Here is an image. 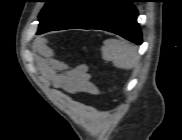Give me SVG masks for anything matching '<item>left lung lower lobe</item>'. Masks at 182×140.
<instances>
[{
    "mask_svg": "<svg viewBox=\"0 0 182 140\" xmlns=\"http://www.w3.org/2000/svg\"><path fill=\"white\" fill-rule=\"evenodd\" d=\"M132 2L131 0H105L68 29L106 30L140 45L142 35L137 23V10Z\"/></svg>",
    "mask_w": 182,
    "mask_h": 140,
    "instance_id": "1",
    "label": "left lung lower lobe"
}]
</instances>
